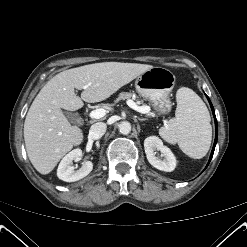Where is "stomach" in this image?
<instances>
[{
    "label": "stomach",
    "instance_id": "1",
    "mask_svg": "<svg viewBox=\"0 0 247 247\" xmlns=\"http://www.w3.org/2000/svg\"><path fill=\"white\" fill-rule=\"evenodd\" d=\"M174 74L163 67H153L135 81L137 92L150 101L152 106L160 113H167L171 110L170 92L175 86Z\"/></svg>",
    "mask_w": 247,
    "mask_h": 247
}]
</instances>
